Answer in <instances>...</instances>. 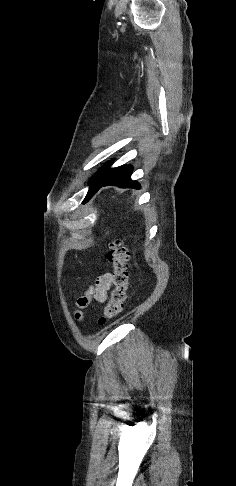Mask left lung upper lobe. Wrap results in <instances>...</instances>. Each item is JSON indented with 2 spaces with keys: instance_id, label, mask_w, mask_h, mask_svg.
Here are the masks:
<instances>
[{
  "instance_id": "obj_1",
  "label": "left lung upper lobe",
  "mask_w": 236,
  "mask_h": 486,
  "mask_svg": "<svg viewBox=\"0 0 236 486\" xmlns=\"http://www.w3.org/2000/svg\"><path fill=\"white\" fill-rule=\"evenodd\" d=\"M109 163L105 164L99 172L96 174V176L93 178V180L89 183L90 188L89 191L83 201V203H86L96 192L98 189L99 184L108 176V174L111 172L112 169L109 168Z\"/></svg>"
}]
</instances>
